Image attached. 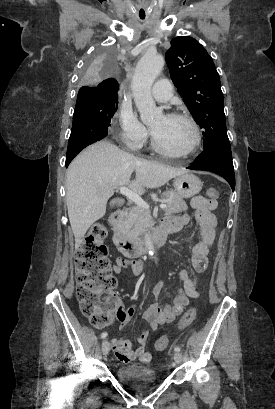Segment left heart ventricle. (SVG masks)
Returning <instances> with one entry per match:
<instances>
[{"label": "left heart ventricle", "instance_id": "1", "mask_svg": "<svg viewBox=\"0 0 275 409\" xmlns=\"http://www.w3.org/2000/svg\"><path fill=\"white\" fill-rule=\"evenodd\" d=\"M149 126L159 143L170 150H184L193 139L191 127L183 120H171L160 115Z\"/></svg>", "mask_w": 275, "mask_h": 409}]
</instances>
